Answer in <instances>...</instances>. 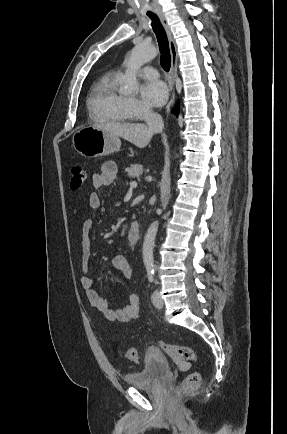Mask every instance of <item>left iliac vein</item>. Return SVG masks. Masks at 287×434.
Listing matches in <instances>:
<instances>
[{"label":"left iliac vein","mask_w":287,"mask_h":434,"mask_svg":"<svg viewBox=\"0 0 287 434\" xmlns=\"http://www.w3.org/2000/svg\"><path fill=\"white\" fill-rule=\"evenodd\" d=\"M152 303L158 309L163 308L164 303H163V300H162V298H161V296H160V294H159L158 291H154L153 292V294H152Z\"/></svg>","instance_id":"4c4485c4"}]
</instances>
